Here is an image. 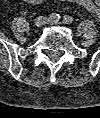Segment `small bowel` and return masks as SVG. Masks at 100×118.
Masks as SVG:
<instances>
[{
    "instance_id": "1",
    "label": "small bowel",
    "mask_w": 100,
    "mask_h": 118,
    "mask_svg": "<svg viewBox=\"0 0 100 118\" xmlns=\"http://www.w3.org/2000/svg\"><path fill=\"white\" fill-rule=\"evenodd\" d=\"M23 1L28 4H39L43 0H23ZM57 1L74 3L76 5L84 7L86 10H88L92 14L96 16H100V6L97 3L98 1L100 2V0H98L97 2L93 0H57Z\"/></svg>"
}]
</instances>
